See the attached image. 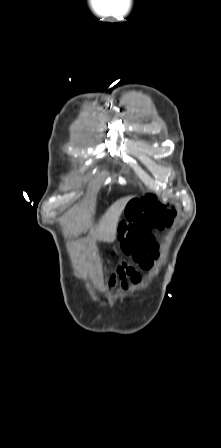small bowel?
Masks as SVG:
<instances>
[{"label":"small bowel","instance_id":"c3829d8e","mask_svg":"<svg viewBox=\"0 0 221 448\" xmlns=\"http://www.w3.org/2000/svg\"><path fill=\"white\" fill-rule=\"evenodd\" d=\"M138 215L144 219H148V216L146 214V212L142 209L139 208L138 209ZM127 222L128 226L134 231L131 232L130 236L125 238L124 234H120V240H121V245H122V249L124 251V253L128 254V255H132L134 256V253L138 250V248H136V244L138 243L139 240V236L141 234L140 230L138 229V227L136 226V224L132 221L129 220L128 218L126 220H124ZM154 230L153 227H151L148 231V233L152 236V231Z\"/></svg>","mask_w":221,"mask_h":448}]
</instances>
